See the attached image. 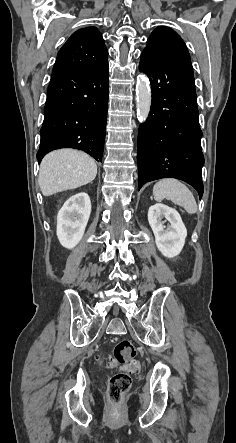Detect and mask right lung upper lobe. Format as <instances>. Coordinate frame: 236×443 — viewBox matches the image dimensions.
Wrapping results in <instances>:
<instances>
[{
    "label": "right lung upper lobe",
    "instance_id": "1",
    "mask_svg": "<svg viewBox=\"0 0 236 443\" xmlns=\"http://www.w3.org/2000/svg\"><path fill=\"white\" fill-rule=\"evenodd\" d=\"M108 51L96 27L73 33L58 52L54 70L94 71L108 65Z\"/></svg>",
    "mask_w": 236,
    "mask_h": 443
}]
</instances>
